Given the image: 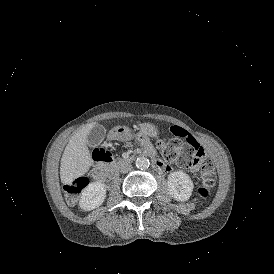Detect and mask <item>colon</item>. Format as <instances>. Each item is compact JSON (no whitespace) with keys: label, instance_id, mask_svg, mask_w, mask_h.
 Here are the masks:
<instances>
[{"label":"colon","instance_id":"obj_1","mask_svg":"<svg viewBox=\"0 0 274 274\" xmlns=\"http://www.w3.org/2000/svg\"><path fill=\"white\" fill-rule=\"evenodd\" d=\"M138 139L144 138L143 132L137 133ZM159 150L163 159L167 161H173L179 168H190L191 162L194 159L195 149L193 146L179 141L176 138L162 139L158 144ZM201 183L196 187L197 194L202 198H209L214 191V185L216 180L215 167L211 161L201 162V166L198 169ZM90 175H79L77 180H73L71 183L64 185L65 199L68 205H74L76 197L82 189L87 188V184H90Z\"/></svg>","mask_w":274,"mask_h":274}]
</instances>
